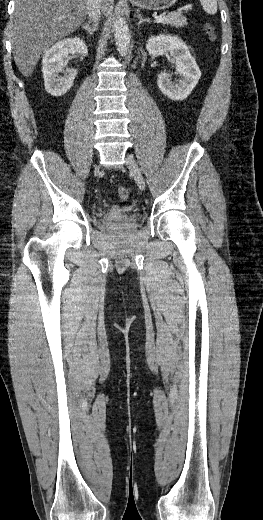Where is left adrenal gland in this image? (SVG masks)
Segmentation results:
<instances>
[{"label":"left adrenal gland","instance_id":"obj_1","mask_svg":"<svg viewBox=\"0 0 263 520\" xmlns=\"http://www.w3.org/2000/svg\"><path fill=\"white\" fill-rule=\"evenodd\" d=\"M136 17H137L138 20H139L138 23H137L138 28H139L140 25H141L142 23H144V22L150 23V20H149V19H146V18L144 19V18L142 17L141 14H138Z\"/></svg>","mask_w":263,"mask_h":520}]
</instances>
